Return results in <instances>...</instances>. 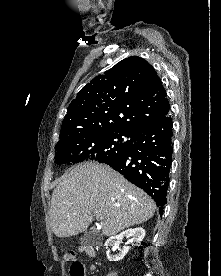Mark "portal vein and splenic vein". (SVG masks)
Here are the masks:
<instances>
[{"label": "portal vein and splenic vein", "instance_id": "portal-vein-and-splenic-vein-1", "mask_svg": "<svg viewBox=\"0 0 221 276\" xmlns=\"http://www.w3.org/2000/svg\"><path fill=\"white\" fill-rule=\"evenodd\" d=\"M96 218L102 220L103 216L102 215H97Z\"/></svg>", "mask_w": 221, "mask_h": 276}]
</instances>
